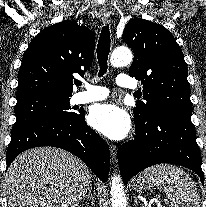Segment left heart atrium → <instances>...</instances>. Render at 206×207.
Listing matches in <instances>:
<instances>
[{
  "label": "left heart atrium",
  "instance_id": "left-heart-atrium-1",
  "mask_svg": "<svg viewBox=\"0 0 206 207\" xmlns=\"http://www.w3.org/2000/svg\"><path fill=\"white\" fill-rule=\"evenodd\" d=\"M89 122L96 130L113 140L125 138L131 130L128 112L114 103L93 106L89 113Z\"/></svg>",
  "mask_w": 206,
  "mask_h": 207
}]
</instances>
